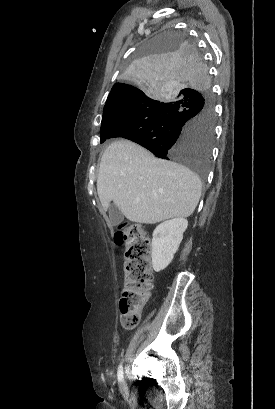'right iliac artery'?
I'll return each instance as SVG.
<instances>
[{"mask_svg":"<svg viewBox=\"0 0 275 409\" xmlns=\"http://www.w3.org/2000/svg\"><path fill=\"white\" fill-rule=\"evenodd\" d=\"M122 364H123V361L120 363V365L118 367V371H117V376H118L119 381H121L122 378H123V366H122Z\"/></svg>","mask_w":275,"mask_h":409,"instance_id":"1","label":"right iliac artery"}]
</instances>
